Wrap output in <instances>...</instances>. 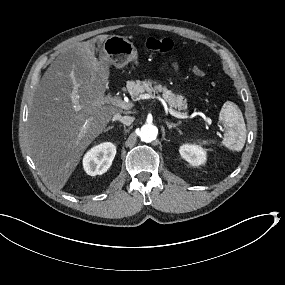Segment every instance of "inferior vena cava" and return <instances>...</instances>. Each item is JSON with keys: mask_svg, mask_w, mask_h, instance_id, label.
<instances>
[{"mask_svg": "<svg viewBox=\"0 0 285 285\" xmlns=\"http://www.w3.org/2000/svg\"><path fill=\"white\" fill-rule=\"evenodd\" d=\"M113 121H120L121 123H123L125 125H130L133 122V117L115 114L113 116Z\"/></svg>", "mask_w": 285, "mask_h": 285, "instance_id": "obj_1", "label": "inferior vena cava"}]
</instances>
